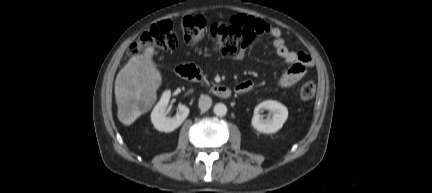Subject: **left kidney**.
Returning a JSON list of instances; mask_svg holds the SVG:
<instances>
[{"label": "left kidney", "mask_w": 432, "mask_h": 193, "mask_svg": "<svg viewBox=\"0 0 432 193\" xmlns=\"http://www.w3.org/2000/svg\"><path fill=\"white\" fill-rule=\"evenodd\" d=\"M262 110H269L272 118H261L259 112ZM287 118L288 110L283 104L274 100H266L255 107L251 124L261 133L272 134L282 128Z\"/></svg>", "instance_id": "left-kidney-1"}]
</instances>
